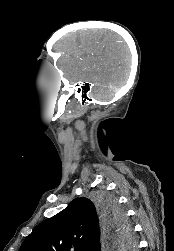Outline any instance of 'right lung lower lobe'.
I'll use <instances>...</instances> for the list:
<instances>
[{
  "mask_svg": "<svg viewBox=\"0 0 174 251\" xmlns=\"http://www.w3.org/2000/svg\"><path fill=\"white\" fill-rule=\"evenodd\" d=\"M103 229H104V238H103V241H102V244H103V248L105 247L106 245V242L108 241L109 239V236L111 235V230H109V228L105 225H103Z\"/></svg>",
  "mask_w": 174,
  "mask_h": 251,
  "instance_id": "1",
  "label": "right lung lower lobe"
}]
</instances>
